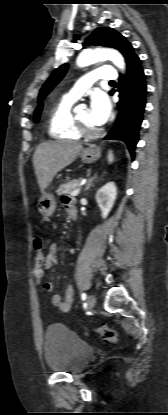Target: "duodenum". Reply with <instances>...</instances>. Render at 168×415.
I'll list each match as a JSON object with an SVG mask.
<instances>
[{
	"label": "duodenum",
	"mask_w": 168,
	"mask_h": 415,
	"mask_svg": "<svg viewBox=\"0 0 168 415\" xmlns=\"http://www.w3.org/2000/svg\"><path fill=\"white\" fill-rule=\"evenodd\" d=\"M70 215H71L72 218H75L76 217V210H75V208H72L70 210Z\"/></svg>",
	"instance_id": "obj_1"
}]
</instances>
